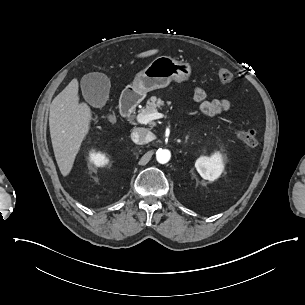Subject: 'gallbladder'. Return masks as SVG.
Listing matches in <instances>:
<instances>
[{
  "label": "gallbladder",
  "mask_w": 305,
  "mask_h": 305,
  "mask_svg": "<svg viewBox=\"0 0 305 305\" xmlns=\"http://www.w3.org/2000/svg\"><path fill=\"white\" fill-rule=\"evenodd\" d=\"M82 95L87 103L96 108H102L109 98L110 79L107 75L92 72L81 78Z\"/></svg>",
  "instance_id": "gallbladder-1"
}]
</instances>
